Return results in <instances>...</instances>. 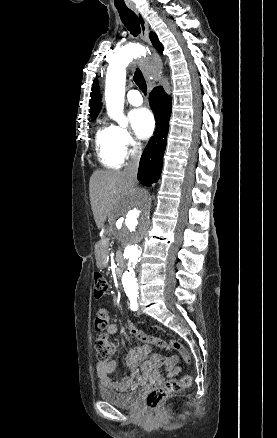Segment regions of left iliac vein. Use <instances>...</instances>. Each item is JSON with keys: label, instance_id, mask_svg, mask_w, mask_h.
I'll use <instances>...</instances> for the list:
<instances>
[{"label": "left iliac vein", "instance_id": "obj_1", "mask_svg": "<svg viewBox=\"0 0 277 438\" xmlns=\"http://www.w3.org/2000/svg\"><path fill=\"white\" fill-rule=\"evenodd\" d=\"M137 313H138L139 315L142 314V310H141L140 307H138V309H137Z\"/></svg>", "mask_w": 277, "mask_h": 438}]
</instances>
